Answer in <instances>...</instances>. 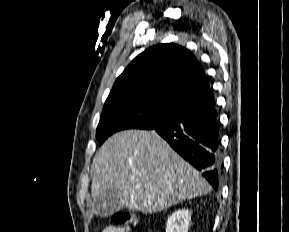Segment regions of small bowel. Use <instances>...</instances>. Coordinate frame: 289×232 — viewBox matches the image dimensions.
<instances>
[{
  "instance_id": "obj_1",
  "label": "small bowel",
  "mask_w": 289,
  "mask_h": 232,
  "mask_svg": "<svg viewBox=\"0 0 289 232\" xmlns=\"http://www.w3.org/2000/svg\"><path fill=\"white\" fill-rule=\"evenodd\" d=\"M131 227L126 226V227H118V226H107L102 232H130Z\"/></svg>"
}]
</instances>
